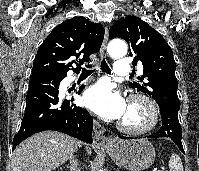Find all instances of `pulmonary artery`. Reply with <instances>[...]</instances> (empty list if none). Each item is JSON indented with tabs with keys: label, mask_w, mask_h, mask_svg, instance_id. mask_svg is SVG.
<instances>
[{
	"label": "pulmonary artery",
	"mask_w": 199,
	"mask_h": 171,
	"mask_svg": "<svg viewBox=\"0 0 199 171\" xmlns=\"http://www.w3.org/2000/svg\"><path fill=\"white\" fill-rule=\"evenodd\" d=\"M131 66L127 60H119L114 65V74L117 76H126L131 73Z\"/></svg>",
	"instance_id": "e3ab8cb5"
}]
</instances>
